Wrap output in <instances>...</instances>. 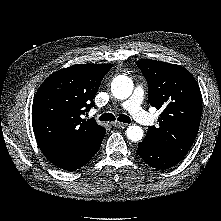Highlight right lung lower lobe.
Masks as SVG:
<instances>
[{"label":"right lung lower lobe","instance_id":"98d812e1","mask_svg":"<svg viewBox=\"0 0 221 221\" xmlns=\"http://www.w3.org/2000/svg\"><path fill=\"white\" fill-rule=\"evenodd\" d=\"M105 136V135H104ZM104 136L91 147L76 153H55L42 151L55 166L64 170H76L83 167L99 150Z\"/></svg>","mask_w":221,"mask_h":221}]
</instances>
